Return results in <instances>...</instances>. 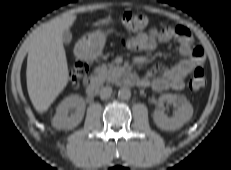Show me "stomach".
I'll return each instance as SVG.
<instances>
[{
  "mask_svg": "<svg viewBox=\"0 0 231 170\" xmlns=\"http://www.w3.org/2000/svg\"><path fill=\"white\" fill-rule=\"evenodd\" d=\"M108 33L109 31H94L82 37L77 46L84 57L94 59L101 55Z\"/></svg>",
  "mask_w": 231,
  "mask_h": 170,
  "instance_id": "stomach-1",
  "label": "stomach"
}]
</instances>
